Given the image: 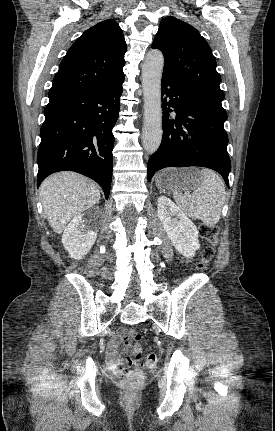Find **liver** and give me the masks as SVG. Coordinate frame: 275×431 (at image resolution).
<instances>
[{
    "mask_svg": "<svg viewBox=\"0 0 275 431\" xmlns=\"http://www.w3.org/2000/svg\"><path fill=\"white\" fill-rule=\"evenodd\" d=\"M40 200L47 220L57 234L76 215L100 200V190L90 179L74 172H59L41 184Z\"/></svg>",
    "mask_w": 275,
    "mask_h": 431,
    "instance_id": "obj_1",
    "label": "liver"
}]
</instances>
